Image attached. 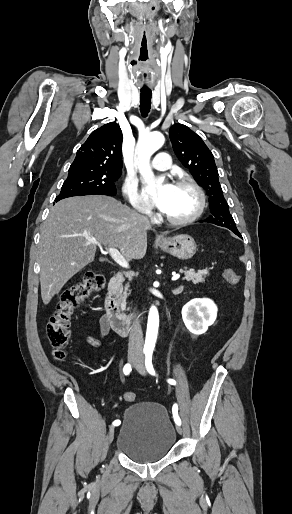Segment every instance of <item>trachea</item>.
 <instances>
[{
	"mask_svg": "<svg viewBox=\"0 0 292 514\" xmlns=\"http://www.w3.org/2000/svg\"><path fill=\"white\" fill-rule=\"evenodd\" d=\"M151 90L145 89L140 91V112L142 117H147L151 109Z\"/></svg>",
	"mask_w": 292,
	"mask_h": 514,
	"instance_id": "obj_1",
	"label": "trachea"
}]
</instances>
